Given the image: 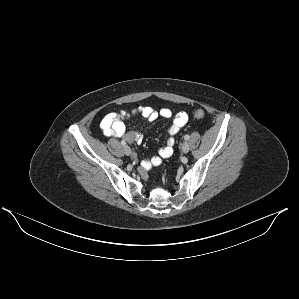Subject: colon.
Wrapping results in <instances>:
<instances>
[{
	"label": "colon",
	"mask_w": 299,
	"mask_h": 299,
	"mask_svg": "<svg viewBox=\"0 0 299 299\" xmlns=\"http://www.w3.org/2000/svg\"><path fill=\"white\" fill-rule=\"evenodd\" d=\"M204 115H205V112L202 109H197L196 111H194L195 118L201 119L204 117Z\"/></svg>",
	"instance_id": "colon-1"
}]
</instances>
